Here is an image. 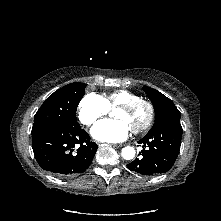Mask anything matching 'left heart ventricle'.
<instances>
[{
    "label": "left heart ventricle",
    "mask_w": 221,
    "mask_h": 221,
    "mask_svg": "<svg viewBox=\"0 0 221 221\" xmlns=\"http://www.w3.org/2000/svg\"><path fill=\"white\" fill-rule=\"evenodd\" d=\"M147 114V108L141 105L131 112L116 109L113 116L115 119L123 120L130 128H134L146 120Z\"/></svg>",
    "instance_id": "obj_1"
}]
</instances>
